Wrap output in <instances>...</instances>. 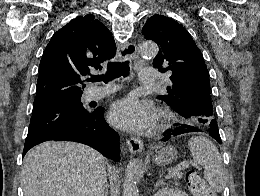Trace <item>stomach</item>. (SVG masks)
I'll use <instances>...</instances> for the list:
<instances>
[{
  "instance_id": "0dacf381",
  "label": "stomach",
  "mask_w": 260,
  "mask_h": 196,
  "mask_svg": "<svg viewBox=\"0 0 260 196\" xmlns=\"http://www.w3.org/2000/svg\"><path fill=\"white\" fill-rule=\"evenodd\" d=\"M177 158V150L173 146H166V148H161L158 152H155L153 156L154 162L158 166H168L171 162H174Z\"/></svg>"
}]
</instances>
